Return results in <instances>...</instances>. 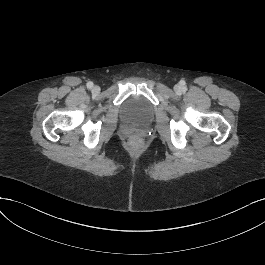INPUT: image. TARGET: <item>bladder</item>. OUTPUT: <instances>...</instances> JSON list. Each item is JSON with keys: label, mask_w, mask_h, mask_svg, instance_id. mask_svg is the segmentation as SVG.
I'll list each match as a JSON object with an SVG mask.
<instances>
[{"label": "bladder", "mask_w": 265, "mask_h": 265, "mask_svg": "<svg viewBox=\"0 0 265 265\" xmlns=\"http://www.w3.org/2000/svg\"><path fill=\"white\" fill-rule=\"evenodd\" d=\"M124 110L130 119L145 120L151 115L146 103L140 98H134L125 103Z\"/></svg>", "instance_id": "bladder-1"}]
</instances>
